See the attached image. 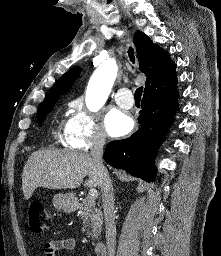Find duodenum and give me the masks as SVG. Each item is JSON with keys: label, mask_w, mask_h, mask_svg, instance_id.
<instances>
[{"label": "duodenum", "mask_w": 221, "mask_h": 256, "mask_svg": "<svg viewBox=\"0 0 221 256\" xmlns=\"http://www.w3.org/2000/svg\"><path fill=\"white\" fill-rule=\"evenodd\" d=\"M96 256H106V244L104 241L99 240L94 245Z\"/></svg>", "instance_id": "410a0bca"}]
</instances>
